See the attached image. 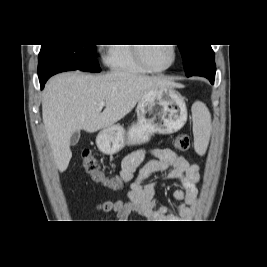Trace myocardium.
Returning <instances> with one entry per match:
<instances>
[{
	"label": "myocardium",
	"mask_w": 267,
	"mask_h": 267,
	"mask_svg": "<svg viewBox=\"0 0 267 267\" xmlns=\"http://www.w3.org/2000/svg\"><path fill=\"white\" fill-rule=\"evenodd\" d=\"M170 45H171L172 52H173V58H172L171 63L169 65H167L166 67H163V68H155L148 63V61L146 60V58L144 56L143 44H136V46H134L135 56H136L138 62L142 66H144L148 71L155 72V73L165 72V71L169 70L170 68H172L174 66V64L176 63V60H177V48L173 44H170Z\"/></svg>",
	"instance_id": "obj_1"
}]
</instances>
